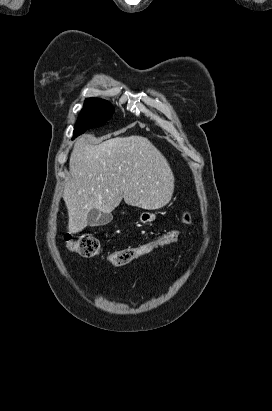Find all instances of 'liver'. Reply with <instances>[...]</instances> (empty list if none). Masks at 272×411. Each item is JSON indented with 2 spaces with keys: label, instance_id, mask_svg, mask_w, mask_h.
Listing matches in <instances>:
<instances>
[{
  "label": "liver",
  "instance_id": "6515ba94",
  "mask_svg": "<svg viewBox=\"0 0 272 411\" xmlns=\"http://www.w3.org/2000/svg\"><path fill=\"white\" fill-rule=\"evenodd\" d=\"M69 168L63 199L71 234L87 226L94 208L110 214L124 199L130 206L154 210L167 205L174 192L166 158L142 136L116 137L98 145L91 144L88 136L80 137Z\"/></svg>",
  "mask_w": 272,
  "mask_h": 411
}]
</instances>
